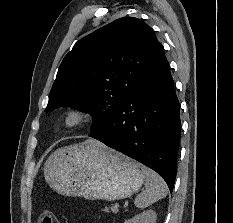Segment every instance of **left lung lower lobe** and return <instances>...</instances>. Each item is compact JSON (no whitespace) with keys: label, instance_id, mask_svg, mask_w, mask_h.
<instances>
[{"label":"left lung lower lobe","instance_id":"1","mask_svg":"<svg viewBox=\"0 0 233 223\" xmlns=\"http://www.w3.org/2000/svg\"><path fill=\"white\" fill-rule=\"evenodd\" d=\"M179 108L169 63L160 45L128 100L90 137L156 171L172 192L180 144Z\"/></svg>","mask_w":233,"mask_h":223}]
</instances>
